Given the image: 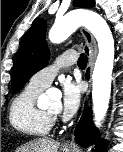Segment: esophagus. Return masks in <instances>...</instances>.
<instances>
[{
	"mask_svg": "<svg viewBox=\"0 0 123 152\" xmlns=\"http://www.w3.org/2000/svg\"><path fill=\"white\" fill-rule=\"evenodd\" d=\"M81 35L85 41V44L88 48L89 51V61H88V65L87 68L92 71L96 57H97V44L95 39L93 38V36L91 35V33L85 29V28H81L80 29ZM89 90L87 92V96L89 95ZM64 146L65 147H72L74 146V139H68L64 142Z\"/></svg>",
	"mask_w": 123,
	"mask_h": 152,
	"instance_id": "obj_1",
	"label": "esophagus"
}]
</instances>
